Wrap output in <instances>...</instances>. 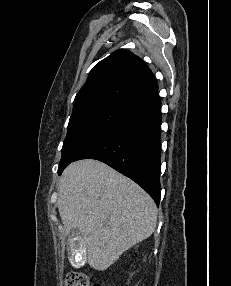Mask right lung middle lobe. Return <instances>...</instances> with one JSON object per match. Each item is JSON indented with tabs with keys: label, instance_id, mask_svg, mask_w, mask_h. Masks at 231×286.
I'll return each instance as SVG.
<instances>
[{
	"label": "right lung middle lobe",
	"instance_id": "dd1d6c3e",
	"mask_svg": "<svg viewBox=\"0 0 231 286\" xmlns=\"http://www.w3.org/2000/svg\"><path fill=\"white\" fill-rule=\"evenodd\" d=\"M132 114V108L117 102L96 103L73 112L62 147L58 173L90 143Z\"/></svg>",
	"mask_w": 231,
	"mask_h": 286
}]
</instances>
